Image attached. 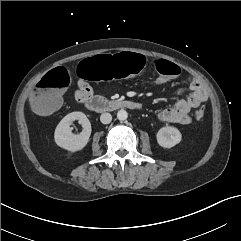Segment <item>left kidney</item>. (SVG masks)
Listing matches in <instances>:
<instances>
[{"instance_id": "5707ae66", "label": "left kidney", "mask_w": 241, "mask_h": 241, "mask_svg": "<svg viewBox=\"0 0 241 241\" xmlns=\"http://www.w3.org/2000/svg\"><path fill=\"white\" fill-rule=\"evenodd\" d=\"M158 144L163 148H171L180 143L182 135L180 131L172 126L160 128L156 135Z\"/></svg>"}]
</instances>
